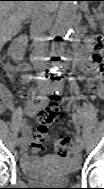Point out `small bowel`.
I'll return each instance as SVG.
<instances>
[{"label": "small bowel", "mask_w": 104, "mask_h": 189, "mask_svg": "<svg viewBox=\"0 0 104 189\" xmlns=\"http://www.w3.org/2000/svg\"><path fill=\"white\" fill-rule=\"evenodd\" d=\"M96 65L91 59H82L79 63L78 70L85 75H89L88 77V86L87 92L91 94L93 97L101 96L103 94V88L98 83L99 77L95 74ZM5 72L8 80L14 81L19 75V79L22 83H28L32 80L33 76L31 74V70L27 65L20 66H6ZM0 98L2 99V109L3 110H13V96L11 92L4 86H0ZM20 129L24 136L23 147L21 150L22 154V162L25 165L31 166L33 163V158L30 155V140H31V129L26 124L21 123ZM72 162H76V160H71Z\"/></svg>", "instance_id": "c3829d8e"}]
</instances>
